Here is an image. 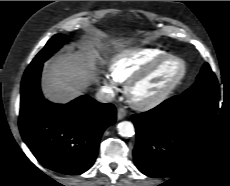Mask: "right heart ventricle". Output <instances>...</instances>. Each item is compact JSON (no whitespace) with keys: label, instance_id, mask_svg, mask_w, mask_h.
<instances>
[{"label":"right heart ventricle","instance_id":"1","mask_svg":"<svg viewBox=\"0 0 230 186\" xmlns=\"http://www.w3.org/2000/svg\"><path fill=\"white\" fill-rule=\"evenodd\" d=\"M165 54L158 48H141L121 54L110 65L111 76L118 82H126Z\"/></svg>","mask_w":230,"mask_h":186}]
</instances>
